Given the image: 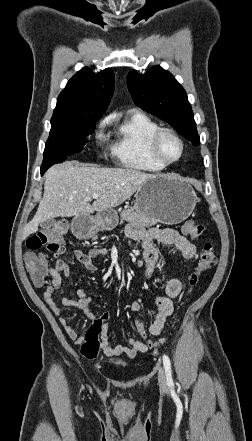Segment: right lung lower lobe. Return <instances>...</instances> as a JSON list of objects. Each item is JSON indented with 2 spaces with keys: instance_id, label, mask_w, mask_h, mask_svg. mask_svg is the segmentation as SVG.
<instances>
[{
  "instance_id": "right-lung-lower-lobe-1",
  "label": "right lung lower lobe",
  "mask_w": 252,
  "mask_h": 441,
  "mask_svg": "<svg viewBox=\"0 0 252 441\" xmlns=\"http://www.w3.org/2000/svg\"><path fill=\"white\" fill-rule=\"evenodd\" d=\"M46 170L41 168V174H43Z\"/></svg>"
}]
</instances>
